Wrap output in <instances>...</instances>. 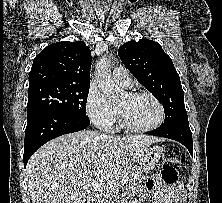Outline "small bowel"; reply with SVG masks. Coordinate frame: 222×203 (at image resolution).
<instances>
[{"mask_svg":"<svg viewBox=\"0 0 222 203\" xmlns=\"http://www.w3.org/2000/svg\"><path fill=\"white\" fill-rule=\"evenodd\" d=\"M147 194H152L161 203H183L181 186L178 184H166L159 176L152 177L145 186L137 190L138 198H144Z\"/></svg>","mask_w":222,"mask_h":203,"instance_id":"obj_1","label":"small bowel"}]
</instances>
